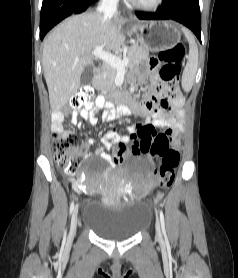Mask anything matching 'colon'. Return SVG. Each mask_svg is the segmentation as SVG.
<instances>
[{
	"label": "colon",
	"mask_w": 238,
	"mask_h": 278,
	"mask_svg": "<svg viewBox=\"0 0 238 278\" xmlns=\"http://www.w3.org/2000/svg\"><path fill=\"white\" fill-rule=\"evenodd\" d=\"M186 48L184 44L179 43L173 48L164 50L159 53L160 69L159 75L167 84L171 95L177 92L176 84L180 71V64L185 56ZM73 108H85L94 110L95 103L93 101V89L90 86H84L75 94L70 101ZM157 120L163 125L167 124L169 115L168 105L166 103L157 106ZM153 137H142L139 143L133 144L131 153H150L152 156L160 154L157 157V166L155 169V177L162 188L169 187L175 178V174L179 165L180 155L178 151L171 149V144H155L152 142ZM53 151L59 169L67 174L74 175L77 173L81 163V149L79 147L77 136L71 132H54L53 135ZM130 151L122 144L116 145L112 149V157L115 163H120L126 159ZM157 199H162V195H158Z\"/></svg>",
	"instance_id": "1"
}]
</instances>
